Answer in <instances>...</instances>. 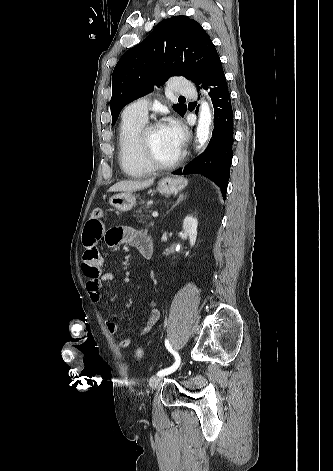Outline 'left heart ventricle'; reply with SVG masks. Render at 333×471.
I'll return each instance as SVG.
<instances>
[{"label":"left heart ventricle","mask_w":333,"mask_h":471,"mask_svg":"<svg viewBox=\"0 0 333 471\" xmlns=\"http://www.w3.org/2000/svg\"><path fill=\"white\" fill-rule=\"evenodd\" d=\"M147 139L151 152L162 162L173 160L179 151L169 140L164 126L151 131Z\"/></svg>","instance_id":"b2bd125f"}]
</instances>
